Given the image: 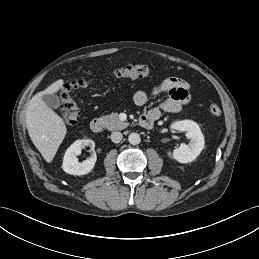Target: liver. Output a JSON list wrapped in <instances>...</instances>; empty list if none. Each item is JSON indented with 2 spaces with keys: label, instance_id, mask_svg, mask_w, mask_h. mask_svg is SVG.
I'll return each mask as SVG.
<instances>
[{
  "label": "liver",
  "instance_id": "6515ba94",
  "mask_svg": "<svg viewBox=\"0 0 259 259\" xmlns=\"http://www.w3.org/2000/svg\"><path fill=\"white\" fill-rule=\"evenodd\" d=\"M64 81L53 82L44 91L36 93L28 103L26 126L29 136L46 162L50 163L67 133L63 119L42 100L44 94H53L63 87Z\"/></svg>",
  "mask_w": 259,
  "mask_h": 259
}]
</instances>
